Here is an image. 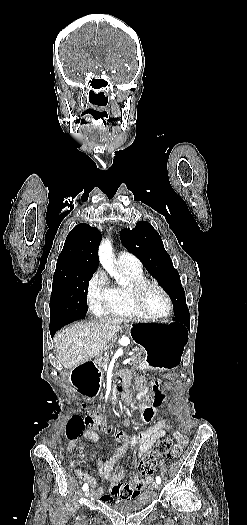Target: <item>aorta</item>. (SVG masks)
<instances>
[{"label":"aorta","mask_w":247,"mask_h":525,"mask_svg":"<svg viewBox=\"0 0 247 525\" xmlns=\"http://www.w3.org/2000/svg\"><path fill=\"white\" fill-rule=\"evenodd\" d=\"M98 255L101 265L108 272V274L111 277H114L118 283H124L125 278L116 268V261L112 252V245L108 239L101 242Z\"/></svg>","instance_id":"obj_1"}]
</instances>
